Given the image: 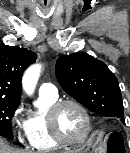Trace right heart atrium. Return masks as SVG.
<instances>
[{
	"instance_id": "d8ad5b80",
	"label": "right heart atrium",
	"mask_w": 130,
	"mask_h": 153,
	"mask_svg": "<svg viewBox=\"0 0 130 153\" xmlns=\"http://www.w3.org/2000/svg\"><path fill=\"white\" fill-rule=\"evenodd\" d=\"M23 110V104L20 103L12 115L13 126L15 127L18 133V138L21 142L24 141V135H26L27 131V121L23 119Z\"/></svg>"
}]
</instances>
